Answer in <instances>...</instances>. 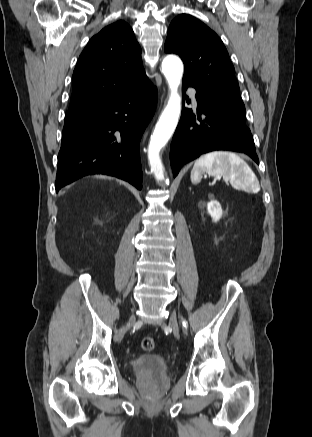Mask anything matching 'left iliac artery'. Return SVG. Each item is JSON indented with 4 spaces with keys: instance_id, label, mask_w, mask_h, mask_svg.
Returning a JSON list of instances; mask_svg holds the SVG:
<instances>
[{
    "instance_id": "left-iliac-artery-1",
    "label": "left iliac artery",
    "mask_w": 312,
    "mask_h": 437,
    "mask_svg": "<svg viewBox=\"0 0 312 437\" xmlns=\"http://www.w3.org/2000/svg\"><path fill=\"white\" fill-rule=\"evenodd\" d=\"M186 324H187V322H186V321H183V326H184V327H186Z\"/></svg>"
}]
</instances>
